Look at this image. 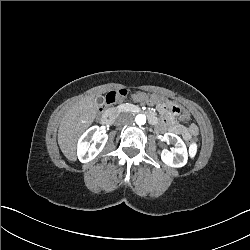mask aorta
<instances>
[{
  "label": "aorta",
  "instance_id": "obj_1",
  "mask_svg": "<svg viewBox=\"0 0 250 250\" xmlns=\"http://www.w3.org/2000/svg\"><path fill=\"white\" fill-rule=\"evenodd\" d=\"M135 122L138 125H144L146 123V116L144 114L136 115Z\"/></svg>",
  "mask_w": 250,
  "mask_h": 250
}]
</instances>
